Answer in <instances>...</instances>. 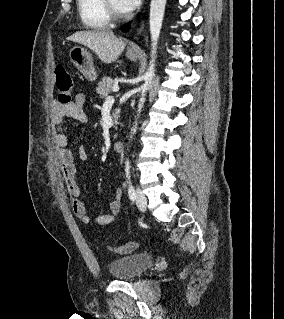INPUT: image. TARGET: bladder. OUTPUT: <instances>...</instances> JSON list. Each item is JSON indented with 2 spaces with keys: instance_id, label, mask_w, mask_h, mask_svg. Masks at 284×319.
Listing matches in <instances>:
<instances>
[{
  "instance_id": "1",
  "label": "bladder",
  "mask_w": 284,
  "mask_h": 319,
  "mask_svg": "<svg viewBox=\"0 0 284 319\" xmlns=\"http://www.w3.org/2000/svg\"><path fill=\"white\" fill-rule=\"evenodd\" d=\"M153 263L152 254L139 252L112 260L108 264V271L117 280H130L143 274Z\"/></svg>"
}]
</instances>
